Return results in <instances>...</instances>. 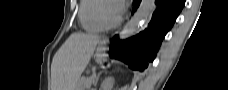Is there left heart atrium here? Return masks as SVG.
I'll list each match as a JSON object with an SVG mask.
<instances>
[{
    "instance_id": "obj_1",
    "label": "left heart atrium",
    "mask_w": 228,
    "mask_h": 90,
    "mask_svg": "<svg viewBox=\"0 0 228 90\" xmlns=\"http://www.w3.org/2000/svg\"><path fill=\"white\" fill-rule=\"evenodd\" d=\"M114 6H115V9H116L117 13L120 15L123 12L122 3L115 4Z\"/></svg>"
}]
</instances>
